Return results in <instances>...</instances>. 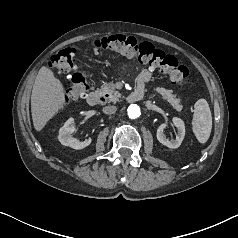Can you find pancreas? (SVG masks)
Masks as SVG:
<instances>
[{"label": "pancreas", "instance_id": "pancreas-1", "mask_svg": "<svg viewBox=\"0 0 238 238\" xmlns=\"http://www.w3.org/2000/svg\"><path fill=\"white\" fill-rule=\"evenodd\" d=\"M154 91L159 93L164 100L169 102L176 111L182 110L183 106L180 103V99L176 98V95L173 94L172 90H167L162 87H155ZM99 92L102 95L108 94L109 100L113 102L119 101V99L122 98V95L116 91L115 85L112 82L103 84Z\"/></svg>", "mask_w": 238, "mask_h": 238}]
</instances>
